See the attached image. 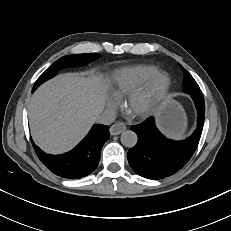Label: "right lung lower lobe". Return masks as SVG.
I'll list each match as a JSON object with an SVG mask.
<instances>
[{
    "label": "right lung lower lobe",
    "mask_w": 231,
    "mask_h": 231,
    "mask_svg": "<svg viewBox=\"0 0 231 231\" xmlns=\"http://www.w3.org/2000/svg\"><path fill=\"white\" fill-rule=\"evenodd\" d=\"M108 128L95 124L73 150L63 155L46 154L33 142L32 144L40 161L52 173L67 179L82 178L98 166L102 146L109 139Z\"/></svg>",
    "instance_id": "obj_1"
}]
</instances>
